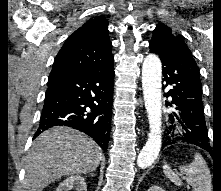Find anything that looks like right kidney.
I'll list each match as a JSON object with an SVG mask.
<instances>
[{
  "mask_svg": "<svg viewBox=\"0 0 221 191\" xmlns=\"http://www.w3.org/2000/svg\"><path fill=\"white\" fill-rule=\"evenodd\" d=\"M73 188L76 191H87L85 179L81 176H70L61 182L56 191H70Z\"/></svg>",
  "mask_w": 221,
  "mask_h": 191,
  "instance_id": "ca27d5eb",
  "label": "right kidney"
}]
</instances>
